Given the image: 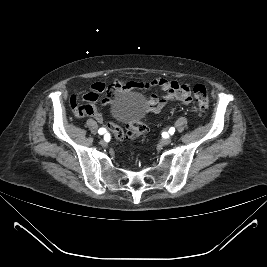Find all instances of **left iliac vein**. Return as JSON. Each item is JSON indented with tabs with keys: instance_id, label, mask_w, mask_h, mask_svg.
I'll return each mask as SVG.
<instances>
[{
	"instance_id": "4c4485c4",
	"label": "left iliac vein",
	"mask_w": 267,
	"mask_h": 267,
	"mask_svg": "<svg viewBox=\"0 0 267 267\" xmlns=\"http://www.w3.org/2000/svg\"><path fill=\"white\" fill-rule=\"evenodd\" d=\"M172 142V139L171 138H165L161 141V144L163 146H166V145H169L170 143Z\"/></svg>"
}]
</instances>
